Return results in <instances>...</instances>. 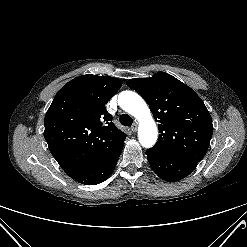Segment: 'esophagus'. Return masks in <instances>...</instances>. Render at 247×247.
Returning <instances> with one entry per match:
<instances>
[{
    "label": "esophagus",
    "mask_w": 247,
    "mask_h": 247,
    "mask_svg": "<svg viewBox=\"0 0 247 247\" xmlns=\"http://www.w3.org/2000/svg\"><path fill=\"white\" fill-rule=\"evenodd\" d=\"M137 128H138V125H137V123H134L132 126H131V130H132V132H136L137 131Z\"/></svg>",
    "instance_id": "34e87169"
}]
</instances>
